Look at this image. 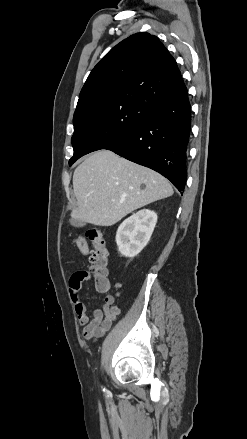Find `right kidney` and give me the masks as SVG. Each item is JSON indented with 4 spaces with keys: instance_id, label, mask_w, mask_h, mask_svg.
Listing matches in <instances>:
<instances>
[{
    "instance_id": "obj_1",
    "label": "right kidney",
    "mask_w": 247,
    "mask_h": 439,
    "mask_svg": "<svg viewBox=\"0 0 247 439\" xmlns=\"http://www.w3.org/2000/svg\"><path fill=\"white\" fill-rule=\"evenodd\" d=\"M157 223L154 211L143 209L122 222L116 243L122 256L133 258L147 245Z\"/></svg>"
}]
</instances>
